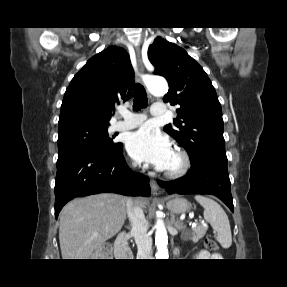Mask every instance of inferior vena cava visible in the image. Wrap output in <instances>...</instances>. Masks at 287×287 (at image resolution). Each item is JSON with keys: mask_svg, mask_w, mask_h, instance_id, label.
Returning a JSON list of instances; mask_svg holds the SVG:
<instances>
[{"mask_svg": "<svg viewBox=\"0 0 287 287\" xmlns=\"http://www.w3.org/2000/svg\"><path fill=\"white\" fill-rule=\"evenodd\" d=\"M127 215L132 225V233L135 237L138 252L137 259H150L152 252V238L147 234L148 222L145 219L143 210L127 200Z\"/></svg>", "mask_w": 287, "mask_h": 287, "instance_id": "obj_1", "label": "inferior vena cava"}]
</instances>
